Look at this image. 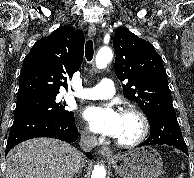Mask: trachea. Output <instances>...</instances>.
<instances>
[{
  "instance_id": "3493384b",
  "label": "trachea",
  "mask_w": 194,
  "mask_h": 178,
  "mask_svg": "<svg viewBox=\"0 0 194 178\" xmlns=\"http://www.w3.org/2000/svg\"><path fill=\"white\" fill-rule=\"evenodd\" d=\"M94 54V47H93V41L88 40L85 45V57L87 61H91Z\"/></svg>"
}]
</instances>
